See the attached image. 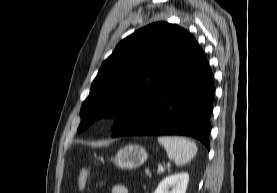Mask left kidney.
<instances>
[{
    "mask_svg": "<svg viewBox=\"0 0 277 193\" xmlns=\"http://www.w3.org/2000/svg\"><path fill=\"white\" fill-rule=\"evenodd\" d=\"M189 181L188 173H179L165 177L154 193H186Z\"/></svg>",
    "mask_w": 277,
    "mask_h": 193,
    "instance_id": "1",
    "label": "left kidney"
}]
</instances>
